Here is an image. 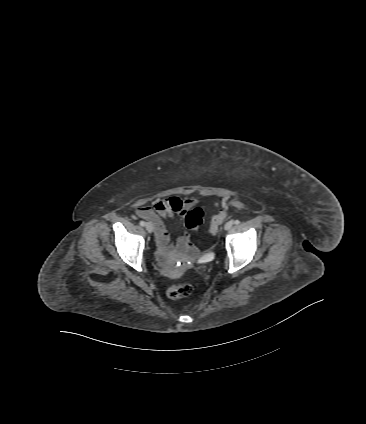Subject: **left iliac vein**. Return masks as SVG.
<instances>
[{
	"label": "left iliac vein",
	"instance_id": "1",
	"mask_svg": "<svg viewBox=\"0 0 366 424\" xmlns=\"http://www.w3.org/2000/svg\"><path fill=\"white\" fill-rule=\"evenodd\" d=\"M233 226V222L232 221H228L225 225H224V229L225 230H230Z\"/></svg>",
	"mask_w": 366,
	"mask_h": 424
}]
</instances>
